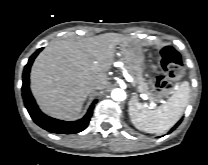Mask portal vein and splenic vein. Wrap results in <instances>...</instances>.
<instances>
[{"label": "portal vein and splenic vein", "instance_id": "portal-vein-and-splenic-vein-1", "mask_svg": "<svg viewBox=\"0 0 208 165\" xmlns=\"http://www.w3.org/2000/svg\"><path fill=\"white\" fill-rule=\"evenodd\" d=\"M141 97L144 99V100H147L148 99V96L146 94H142ZM150 108H154L156 106V104L150 100V104H149Z\"/></svg>", "mask_w": 208, "mask_h": 165}]
</instances>
